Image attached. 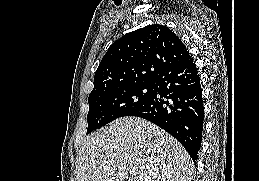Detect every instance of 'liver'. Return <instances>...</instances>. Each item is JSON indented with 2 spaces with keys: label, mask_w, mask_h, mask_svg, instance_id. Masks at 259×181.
I'll use <instances>...</instances> for the list:
<instances>
[{
  "label": "liver",
  "mask_w": 259,
  "mask_h": 181,
  "mask_svg": "<svg viewBox=\"0 0 259 181\" xmlns=\"http://www.w3.org/2000/svg\"><path fill=\"white\" fill-rule=\"evenodd\" d=\"M193 169L188 152L170 134L147 120L123 117L80 148L77 181H192Z\"/></svg>",
  "instance_id": "1"
}]
</instances>
